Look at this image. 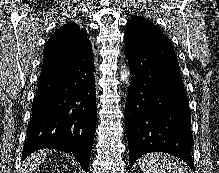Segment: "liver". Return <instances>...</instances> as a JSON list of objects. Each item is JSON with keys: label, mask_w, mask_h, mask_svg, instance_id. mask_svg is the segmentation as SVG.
<instances>
[{"label": "liver", "mask_w": 219, "mask_h": 173, "mask_svg": "<svg viewBox=\"0 0 219 173\" xmlns=\"http://www.w3.org/2000/svg\"><path fill=\"white\" fill-rule=\"evenodd\" d=\"M45 152H36L31 157L27 159L25 166L27 167V173H29L33 168L37 167L45 157Z\"/></svg>", "instance_id": "obj_1"}]
</instances>
